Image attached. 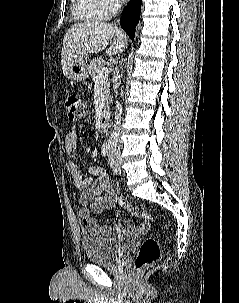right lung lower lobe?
Returning a JSON list of instances; mask_svg holds the SVG:
<instances>
[{
	"label": "right lung lower lobe",
	"mask_w": 239,
	"mask_h": 303,
	"mask_svg": "<svg viewBox=\"0 0 239 303\" xmlns=\"http://www.w3.org/2000/svg\"><path fill=\"white\" fill-rule=\"evenodd\" d=\"M141 1L142 0H130L124 8L120 19L121 27L132 40L135 37V28L140 18Z\"/></svg>",
	"instance_id": "98d812e1"
}]
</instances>
